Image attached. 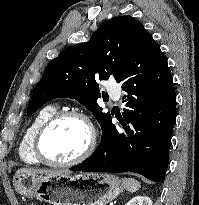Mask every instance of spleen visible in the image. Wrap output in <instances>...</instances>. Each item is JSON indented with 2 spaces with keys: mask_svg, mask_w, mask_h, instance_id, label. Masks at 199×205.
<instances>
[{
  "mask_svg": "<svg viewBox=\"0 0 199 205\" xmlns=\"http://www.w3.org/2000/svg\"><path fill=\"white\" fill-rule=\"evenodd\" d=\"M121 181L124 188L132 193L136 192L141 187V184L133 178H123Z\"/></svg>",
  "mask_w": 199,
  "mask_h": 205,
  "instance_id": "obj_1",
  "label": "spleen"
}]
</instances>
